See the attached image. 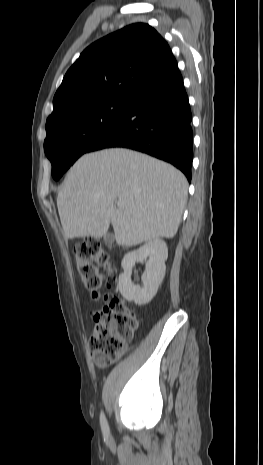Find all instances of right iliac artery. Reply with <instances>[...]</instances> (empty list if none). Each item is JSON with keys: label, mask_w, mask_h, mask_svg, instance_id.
Listing matches in <instances>:
<instances>
[{"label": "right iliac artery", "mask_w": 263, "mask_h": 465, "mask_svg": "<svg viewBox=\"0 0 263 465\" xmlns=\"http://www.w3.org/2000/svg\"><path fill=\"white\" fill-rule=\"evenodd\" d=\"M100 424H101V428H102V431H103L104 435H108L109 434V426H108L106 417H105L103 412H101V415H100Z\"/></svg>", "instance_id": "1"}]
</instances>
